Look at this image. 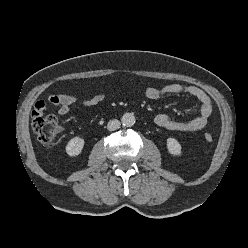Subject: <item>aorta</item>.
I'll return each mask as SVG.
<instances>
[{"label":"aorta","mask_w":248,"mask_h":248,"mask_svg":"<svg viewBox=\"0 0 248 248\" xmlns=\"http://www.w3.org/2000/svg\"><path fill=\"white\" fill-rule=\"evenodd\" d=\"M135 116L133 113H125L121 117V122L123 126L131 127L135 124Z\"/></svg>","instance_id":"1"}]
</instances>
